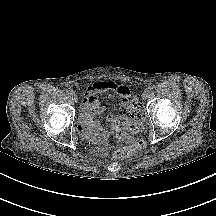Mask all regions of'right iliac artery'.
<instances>
[{
  "label": "right iliac artery",
  "mask_w": 216,
  "mask_h": 216,
  "mask_svg": "<svg viewBox=\"0 0 216 216\" xmlns=\"http://www.w3.org/2000/svg\"><path fill=\"white\" fill-rule=\"evenodd\" d=\"M67 93H68L69 95H72V94L74 93V91L70 89V90L67 91Z\"/></svg>",
  "instance_id": "82829eb1"
}]
</instances>
